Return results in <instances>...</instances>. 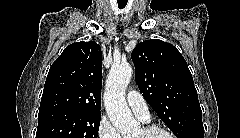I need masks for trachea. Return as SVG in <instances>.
Instances as JSON below:
<instances>
[{"instance_id": "obj_1", "label": "trachea", "mask_w": 240, "mask_h": 138, "mask_svg": "<svg viewBox=\"0 0 240 138\" xmlns=\"http://www.w3.org/2000/svg\"><path fill=\"white\" fill-rule=\"evenodd\" d=\"M125 6H126V4H119V8H120V9L125 8Z\"/></svg>"}]
</instances>
